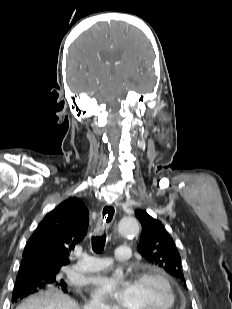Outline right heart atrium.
<instances>
[{"mask_svg":"<svg viewBox=\"0 0 232 309\" xmlns=\"http://www.w3.org/2000/svg\"><path fill=\"white\" fill-rule=\"evenodd\" d=\"M90 309H115L114 307L101 301L98 297L93 296L89 302Z\"/></svg>","mask_w":232,"mask_h":309,"instance_id":"right-heart-atrium-1","label":"right heart atrium"}]
</instances>
